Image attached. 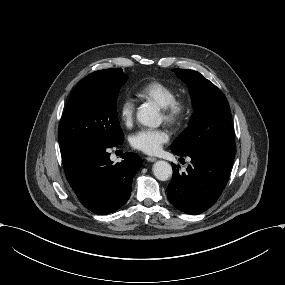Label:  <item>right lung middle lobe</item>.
Returning a JSON list of instances; mask_svg holds the SVG:
<instances>
[{"label": "right lung middle lobe", "instance_id": "dd1d6c3e", "mask_svg": "<svg viewBox=\"0 0 285 285\" xmlns=\"http://www.w3.org/2000/svg\"><path fill=\"white\" fill-rule=\"evenodd\" d=\"M128 76L121 68L93 72L74 89L60 120L58 139L61 152L82 146L122 144L116 102Z\"/></svg>", "mask_w": 285, "mask_h": 285}]
</instances>
